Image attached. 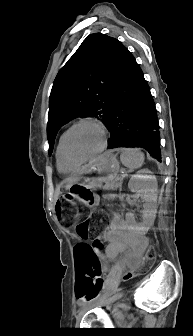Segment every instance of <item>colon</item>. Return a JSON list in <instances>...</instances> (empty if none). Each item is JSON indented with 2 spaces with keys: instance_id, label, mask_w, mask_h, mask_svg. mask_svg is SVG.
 I'll use <instances>...</instances> for the list:
<instances>
[{
  "instance_id": "5ec220e1",
  "label": "colon",
  "mask_w": 193,
  "mask_h": 336,
  "mask_svg": "<svg viewBox=\"0 0 193 336\" xmlns=\"http://www.w3.org/2000/svg\"><path fill=\"white\" fill-rule=\"evenodd\" d=\"M74 206V198L72 195L62 197L57 202V210L61 213V222L65 227H75L77 235L84 239H90L95 231H97L104 221L101 214H97L91 219H80L78 215L71 214ZM104 246V239L98 237L95 240L93 248L88 245H78L75 249L76 266L81 273H87L92 279L93 284H102L101 270L98 253ZM155 258V249L149 247L143 258V266L150 264ZM140 270V269H139ZM138 269L133 271L136 274ZM78 294L81 299L88 300L91 296L86 293L82 287H78Z\"/></svg>"
}]
</instances>
